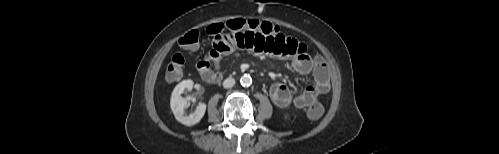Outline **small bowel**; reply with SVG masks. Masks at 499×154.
<instances>
[{"mask_svg": "<svg viewBox=\"0 0 499 154\" xmlns=\"http://www.w3.org/2000/svg\"><path fill=\"white\" fill-rule=\"evenodd\" d=\"M212 49L198 62L197 70L203 80L214 83L221 78L220 63L223 56L238 50H248L292 61L300 74H312L314 83L302 92L293 95L283 83L276 82L270 88V97L279 108L293 105L302 109L309 107L320 95L330 90V75L325 60L312 55L305 43L282 33L266 35L255 30L226 31L213 37Z\"/></svg>", "mask_w": 499, "mask_h": 154, "instance_id": "small-bowel-1", "label": "small bowel"}]
</instances>
